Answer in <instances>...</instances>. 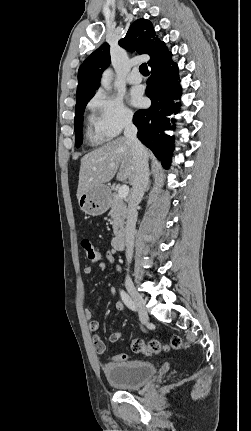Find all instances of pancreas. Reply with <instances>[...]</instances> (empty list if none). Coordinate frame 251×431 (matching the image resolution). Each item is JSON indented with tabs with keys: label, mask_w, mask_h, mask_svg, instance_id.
<instances>
[{
	"label": "pancreas",
	"mask_w": 251,
	"mask_h": 431,
	"mask_svg": "<svg viewBox=\"0 0 251 431\" xmlns=\"http://www.w3.org/2000/svg\"><path fill=\"white\" fill-rule=\"evenodd\" d=\"M111 210L109 215L112 218L113 232L116 237H121L124 233V223L127 216L126 205L117 193H112Z\"/></svg>",
	"instance_id": "1"
}]
</instances>
